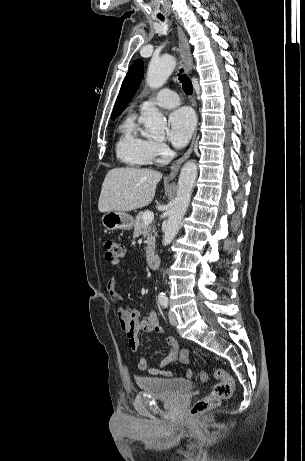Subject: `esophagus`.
Here are the masks:
<instances>
[{
    "instance_id": "esophagus-1",
    "label": "esophagus",
    "mask_w": 305,
    "mask_h": 461,
    "mask_svg": "<svg viewBox=\"0 0 305 461\" xmlns=\"http://www.w3.org/2000/svg\"><path fill=\"white\" fill-rule=\"evenodd\" d=\"M177 32H178V37H179L180 57L182 59L183 66H184L187 74L191 75L192 69H193V58H192V55H191L190 46H189V43H188V38H187L185 32L182 30V28L180 26H177ZM196 135H197V130H195V132H194V135H193V138H192V141H191V144H190L188 150L171 167V171L167 176V180L175 179L181 165L191 155V153L193 151L194 144H195Z\"/></svg>"
}]
</instances>
